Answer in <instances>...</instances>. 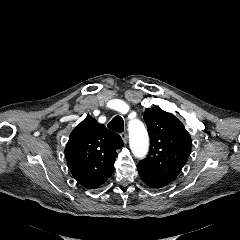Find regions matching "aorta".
<instances>
[{"label":"aorta","mask_w":240,"mask_h":240,"mask_svg":"<svg viewBox=\"0 0 240 240\" xmlns=\"http://www.w3.org/2000/svg\"><path fill=\"white\" fill-rule=\"evenodd\" d=\"M130 148L133 155L143 158L148 152L149 138L144 124L139 120H132L128 125Z\"/></svg>","instance_id":"1"}]
</instances>
